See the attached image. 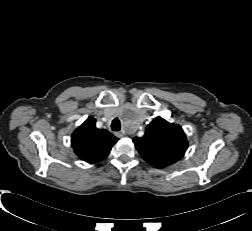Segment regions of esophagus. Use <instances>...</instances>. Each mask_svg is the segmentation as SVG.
I'll use <instances>...</instances> for the list:
<instances>
[{"mask_svg": "<svg viewBox=\"0 0 252 231\" xmlns=\"http://www.w3.org/2000/svg\"><path fill=\"white\" fill-rule=\"evenodd\" d=\"M124 135H125L124 132H117V133H116V136L119 137V138L124 137Z\"/></svg>", "mask_w": 252, "mask_h": 231, "instance_id": "obj_1", "label": "esophagus"}]
</instances>
